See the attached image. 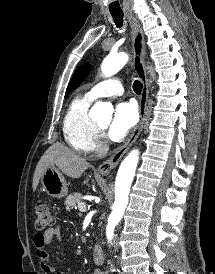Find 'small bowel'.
<instances>
[{
	"label": "small bowel",
	"mask_w": 215,
	"mask_h": 274,
	"mask_svg": "<svg viewBox=\"0 0 215 274\" xmlns=\"http://www.w3.org/2000/svg\"><path fill=\"white\" fill-rule=\"evenodd\" d=\"M61 228L53 227L49 228L44 232L36 233L34 235V245L36 255L39 260L40 267L45 274H50L53 272L52 266L50 264L49 255L46 251V247L50 244L53 238L58 240L61 239ZM56 274H65L64 272H57ZM91 274H104L102 271H94Z\"/></svg>",
	"instance_id": "obj_1"
}]
</instances>
